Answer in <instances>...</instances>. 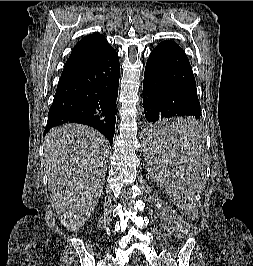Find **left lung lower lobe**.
Wrapping results in <instances>:
<instances>
[{"label":"left lung lower lobe","mask_w":253,"mask_h":266,"mask_svg":"<svg viewBox=\"0 0 253 266\" xmlns=\"http://www.w3.org/2000/svg\"><path fill=\"white\" fill-rule=\"evenodd\" d=\"M143 107L151 141L189 137L201 116L196 82L190 62L174 41L161 42L146 63ZM191 118L169 122L167 118Z\"/></svg>","instance_id":"obj_1"}]
</instances>
